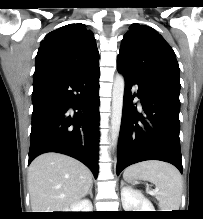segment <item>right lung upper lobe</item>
<instances>
[{
	"label": "right lung upper lobe",
	"mask_w": 203,
	"mask_h": 219,
	"mask_svg": "<svg viewBox=\"0 0 203 219\" xmlns=\"http://www.w3.org/2000/svg\"><path fill=\"white\" fill-rule=\"evenodd\" d=\"M99 67L92 31L84 24H68L48 33L41 42L33 78L53 74L89 72Z\"/></svg>",
	"instance_id": "cb5924a9"
}]
</instances>
